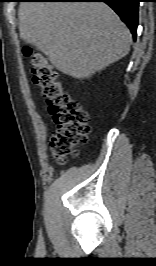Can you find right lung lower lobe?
Instances as JSON below:
<instances>
[{
  "mask_svg": "<svg viewBox=\"0 0 156 266\" xmlns=\"http://www.w3.org/2000/svg\"><path fill=\"white\" fill-rule=\"evenodd\" d=\"M44 2H105L121 18V20L131 30L134 39H136V30L138 26V7L139 0H33Z\"/></svg>",
  "mask_w": 156,
  "mask_h": 266,
  "instance_id": "right-lung-lower-lobe-1",
  "label": "right lung lower lobe"
}]
</instances>
